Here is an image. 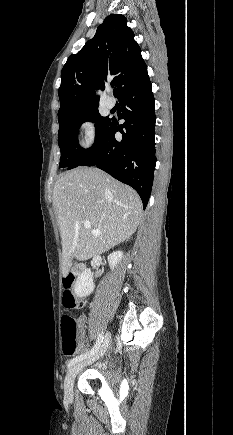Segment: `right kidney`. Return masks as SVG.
<instances>
[{"instance_id":"1","label":"right kidney","mask_w":233,"mask_h":435,"mask_svg":"<svg viewBox=\"0 0 233 435\" xmlns=\"http://www.w3.org/2000/svg\"><path fill=\"white\" fill-rule=\"evenodd\" d=\"M123 257V253L121 251L113 252L108 256V262L110 268L113 270L117 263ZM93 277L90 269H86L83 271L77 278L74 286L75 294L78 297H86L90 295L94 291Z\"/></svg>"}]
</instances>
